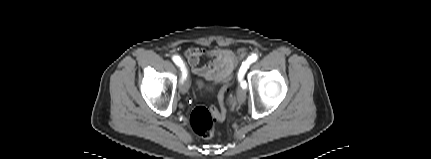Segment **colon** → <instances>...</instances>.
<instances>
[{"mask_svg": "<svg viewBox=\"0 0 431 159\" xmlns=\"http://www.w3.org/2000/svg\"><path fill=\"white\" fill-rule=\"evenodd\" d=\"M236 81L235 78H232L231 81L226 82V85H231ZM192 84L196 85L197 90L203 89V80L201 78H193ZM227 91V87H223L219 92V101L221 110H217L215 105H211V107L198 106L196 107L191 115H190V126L194 133L203 139H207L213 136L216 124L219 120H221V124L225 123L226 118V107H223L225 104L224 97Z\"/></svg>", "mask_w": 431, "mask_h": 159, "instance_id": "5ec220e1", "label": "colon"}]
</instances>
